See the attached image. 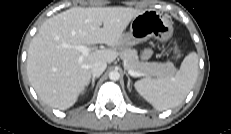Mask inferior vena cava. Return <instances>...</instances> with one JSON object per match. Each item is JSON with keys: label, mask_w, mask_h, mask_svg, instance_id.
Instances as JSON below:
<instances>
[{"label": "inferior vena cava", "mask_w": 231, "mask_h": 134, "mask_svg": "<svg viewBox=\"0 0 231 134\" xmlns=\"http://www.w3.org/2000/svg\"><path fill=\"white\" fill-rule=\"evenodd\" d=\"M107 64L102 61L94 62L91 65V73L93 76H100L106 69Z\"/></svg>", "instance_id": "602c4592"}]
</instances>
